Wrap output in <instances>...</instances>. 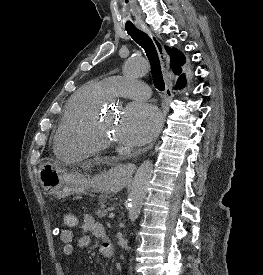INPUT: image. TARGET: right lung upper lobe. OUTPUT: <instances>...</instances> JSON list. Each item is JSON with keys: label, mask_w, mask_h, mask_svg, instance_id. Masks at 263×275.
<instances>
[{"label": "right lung upper lobe", "mask_w": 263, "mask_h": 275, "mask_svg": "<svg viewBox=\"0 0 263 275\" xmlns=\"http://www.w3.org/2000/svg\"><path fill=\"white\" fill-rule=\"evenodd\" d=\"M167 52L170 56V66L173 69L174 73L179 75L180 71H181V65H183L185 63V57L183 56V53L175 48L173 49H167ZM184 74H182L179 79L178 82H182V80L184 79Z\"/></svg>", "instance_id": "1"}]
</instances>
